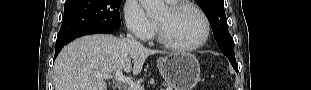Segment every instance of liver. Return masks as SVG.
Wrapping results in <instances>:
<instances>
[{
  "label": "liver",
  "instance_id": "6515ba94",
  "mask_svg": "<svg viewBox=\"0 0 311 90\" xmlns=\"http://www.w3.org/2000/svg\"><path fill=\"white\" fill-rule=\"evenodd\" d=\"M156 53L162 51L128 38L107 34L83 36L59 53L54 64L55 90H107L101 74L124 70L138 75L147 57Z\"/></svg>",
  "mask_w": 311,
  "mask_h": 90
}]
</instances>
